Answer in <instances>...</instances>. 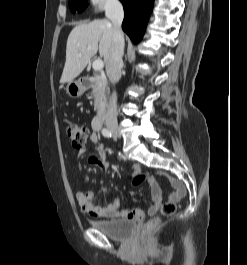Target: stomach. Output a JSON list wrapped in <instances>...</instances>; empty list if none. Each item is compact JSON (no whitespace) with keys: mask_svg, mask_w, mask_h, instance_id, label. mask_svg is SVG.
Segmentation results:
<instances>
[{"mask_svg":"<svg viewBox=\"0 0 247 265\" xmlns=\"http://www.w3.org/2000/svg\"><path fill=\"white\" fill-rule=\"evenodd\" d=\"M86 90V86L84 85L82 80L71 81L68 83L66 87V91L68 95L72 98L80 97L84 91Z\"/></svg>","mask_w":247,"mask_h":265,"instance_id":"stomach-1","label":"stomach"}]
</instances>
